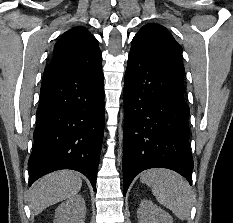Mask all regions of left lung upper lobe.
Wrapping results in <instances>:
<instances>
[{
  "instance_id": "obj_1",
  "label": "left lung upper lobe",
  "mask_w": 233,
  "mask_h": 223,
  "mask_svg": "<svg viewBox=\"0 0 233 223\" xmlns=\"http://www.w3.org/2000/svg\"><path fill=\"white\" fill-rule=\"evenodd\" d=\"M132 45L139 46L160 63L185 74L182 63L183 50L164 26L159 24L143 26L133 38Z\"/></svg>"
}]
</instances>
